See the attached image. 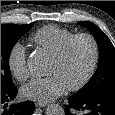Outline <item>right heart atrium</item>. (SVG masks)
Returning <instances> with one entry per match:
<instances>
[{
    "mask_svg": "<svg viewBox=\"0 0 115 115\" xmlns=\"http://www.w3.org/2000/svg\"><path fill=\"white\" fill-rule=\"evenodd\" d=\"M7 64L12 76L17 81L25 82L29 78L26 49L21 43H15L11 47Z\"/></svg>",
    "mask_w": 115,
    "mask_h": 115,
    "instance_id": "right-heart-atrium-1",
    "label": "right heart atrium"
}]
</instances>
